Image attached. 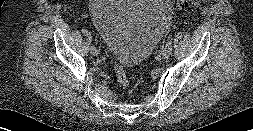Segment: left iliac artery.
I'll list each match as a JSON object with an SVG mask.
<instances>
[{
  "label": "left iliac artery",
  "instance_id": "left-iliac-artery-1",
  "mask_svg": "<svg viewBox=\"0 0 253 131\" xmlns=\"http://www.w3.org/2000/svg\"><path fill=\"white\" fill-rule=\"evenodd\" d=\"M166 47H172V44H171V39H168V41L166 42Z\"/></svg>",
  "mask_w": 253,
  "mask_h": 131
}]
</instances>
